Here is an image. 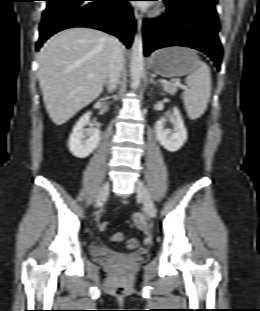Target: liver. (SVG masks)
<instances>
[{"mask_svg":"<svg viewBox=\"0 0 260 311\" xmlns=\"http://www.w3.org/2000/svg\"><path fill=\"white\" fill-rule=\"evenodd\" d=\"M112 38L102 31L75 27L44 44L38 56V77L53 123H66L100 95L107 79Z\"/></svg>","mask_w":260,"mask_h":311,"instance_id":"6515ba94","label":"liver"}]
</instances>
